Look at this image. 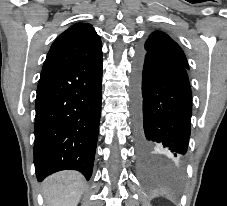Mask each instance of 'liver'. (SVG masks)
Wrapping results in <instances>:
<instances>
[{
	"mask_svg": "<svg viewBox=\"0 0 227 206\" xmlns=\"http://www.w3.org/2000/svg\"><path fill=\"white\" fill-rule=\"evenodd\" d=\"M85 189L83 176L76 171H62L47 177L42 193L47 206H77Z\"/></svg>",
	"mask_w": 227,
	"mask_h": 206,
	"instance_id": "1",
	"label": "liver"
}]
</instances>
